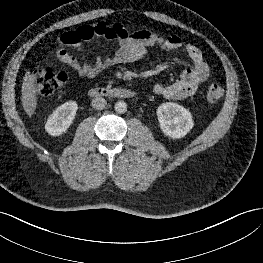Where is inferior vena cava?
<instances>
[{"instance_id":"602c4592","label":"inferior vena cava","mask_w":263,"mask_h":263,"mask_svg":"<svg viewBox=\"0 0 263 263\" xmlns=\"http://www.w3.org/2000/svg\"><path fill=\"white\" fill-rule=\"evenodd\" d=\"M106 100L102 97H96L92 100L91 105L94 109L102 110L106 107Z\"/></svg>"}]
</instances>
